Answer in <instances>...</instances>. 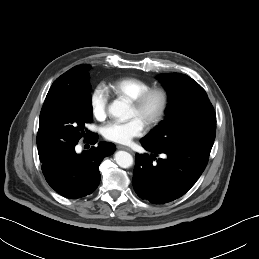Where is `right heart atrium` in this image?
<instances>
[{
  "mask_svg": "<svg viewBox=\"0 0 259 259\" xmlns=\"http://www.w3.org/2000/svg\"><path fill=\"white\" fill-rule=\"evenodd\" d=\"M109 100L108 89L102 84L96 85L90 94V106L92 114L97 120L103 121L106 118Z\"/></svg>",
  "mask_w": 259,
  "mask_h": 259,
  "instance_id": "1",
  "label": "right heart atrium"
}]
</instances>
